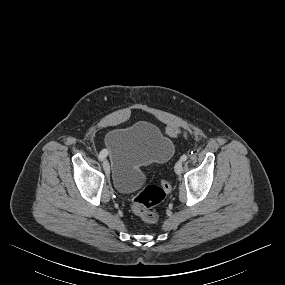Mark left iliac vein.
I'll use <instances>...</instances> for the list:
<instances>
[{
    "label": "left iliac vein",
    "instance_id": "4c4485c4",
    "mask_svg": "<svg viewBox=\"0 0 285 285\" xmlns=\"http://www.w3.org/2000/svg\"><path fill=\"white\" fill-rule=\"evenodd\" d=\"M175 173L176 174H181L182 170H183V162L181 160H179L174 167Z\"/></svg>",
    "mask_w": 285,
    "mask_h": 285
}]
</instances>
